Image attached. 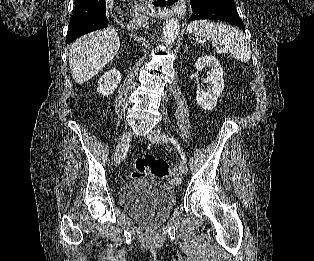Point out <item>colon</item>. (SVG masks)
I'll use <instances>...</instances> for the list:
<instances>
[{"label":"colon","instance_id":"1","mask_svg":"<svg viewBox=\"0 0 314 261\" xmlns=\"http://www.w3.org/2000/svg\"><path fill=\"white\" fill-rule=\"evenodd\" d=\"M176 169H170L164 159L152 155H143L135 160V170L130 174L131 178L147 177L152 179H164L177 175Z\"/></svg>","mask_w":314,"mask_h":261}]
</instances>
